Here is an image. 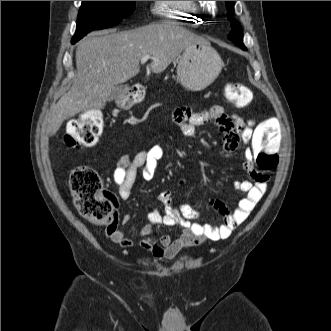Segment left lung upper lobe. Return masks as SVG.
Instances as JSON below:
<instances>
[{
  "label": "left lung upper lobe",
  "mask_w": 331,
  "mask_h": 331,
  "mask_svg": "<svg viewBox=\"0 0 331 331\" xmlns=\"http://www.w3.org/2000/svg\"><path fill=\"white\" fill-rule=\"evenodd\" d=\"M226 8L228 19L231 21L232 31L229 33L228 38L233 41L240 48H246L243 44V31L241 25L233 19L234 1H226Z\"/></svg>",
  "instance_id": "obj_1"
}]
</instances>
